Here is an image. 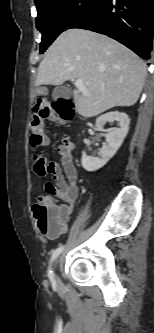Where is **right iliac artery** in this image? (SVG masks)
I'll return each instance as SVG.
<instances>
[{
	"label": "right iliac artery",
	"mask_w": 154,
	"mask_h": 333,
	"mask_svg": "<svg viewBox=\"0 0 154 333\" xmlns=\"http://www.w3.org/2000/svg\"><path fill=\"white\" fill-rule=\"evenodd\" d=\"M63 246L57 248L56 250L53 251V254L51 256V259H50V266H49V269H48V277L51 279V280H54V272L51 268V264L52 262L59 256V254L62 252L63 250Z\"/></svg>",
	"instance_id": "obj_1"
}]
</instances>
